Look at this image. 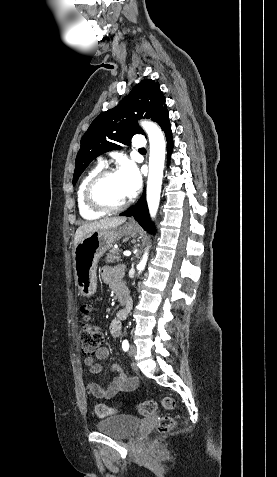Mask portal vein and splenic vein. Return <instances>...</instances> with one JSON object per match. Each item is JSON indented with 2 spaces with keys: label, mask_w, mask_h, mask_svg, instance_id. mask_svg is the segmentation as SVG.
I'll list each match as a JSON object with an SVG mask.
<instances>
[{
  "label": "portal vein and splenic vein",
  "mask_w": 277,
  "mask_h": 477,
  "mask_svg": "<svg viewBox=\"0 0 277 477\" xmlns=\"http://www.w3.org/2000/svg\"><path fill=\"white\" fill-rule=\"evenodd\" d=\"M123 255H124V256H130V255H131V252L128 251V250H125V251L123 252Z\"/></svg>",
  "instance_id": "portal-vein-and-splenic-vein-1"
}]
</instances>
